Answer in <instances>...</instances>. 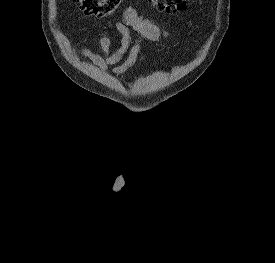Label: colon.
<instances>
[{
    "instance_id": "obj_1",
    "label": "colon",
    "mask_w": 275,
    "mask_h": 263,
    "mask_svg": "<svg viewBox=\"0 0 275 263\" xmlns=\"http://www.w3.org/2000/svg\"><path fill=\"white\" fill-rule=\"evenodd\" d=\"M88 15L107 17L116 12L124 0H73ZM188 0H151L153 7L161 12L178 13L185 10Z\"/></svg>"
}]
</instances>
